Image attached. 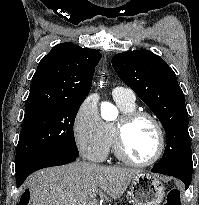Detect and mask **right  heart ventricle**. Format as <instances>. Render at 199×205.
Returning a JSON list of instances; mask_svg holds the SVG:
<instances>
[{"label": "right heart ventricle", "mask_w": 199, "mask_h": 205, "mask_svg": "<svg viewBox=\"0 0 199 205\" xmlns=\"http://www.w3.org/2000/svg\"><path fill=\"white\" fill-rule=\"evenodd\" d=\"M115 101L123 113L133 111L136 108L135 101L128 102V101H125L122 99H115ZM105 129H106V132L108 134L109 145H110V147H112L113 146V124L112 123H105Z\"/></svg>", "instance_id": "obj_1"}]
</instances>
